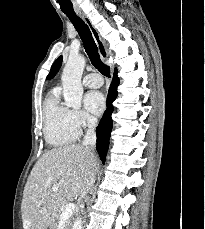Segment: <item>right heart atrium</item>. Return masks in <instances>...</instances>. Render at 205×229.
<instances>
[{
  "mask_svg": "<svg viewBox=\"0 0 205 229\" xmlns=\"http://www.w3.org/2000/svg\"><path fill=\"white\" fill-rule=\"evenodd\" d=\"M70 118L73 125L80 132L82 129L94 124V119L83 110H70Z\"/></svg>",
  "mask_w": 205,
  "mask_h": 229,
  "instance_id": "obj_1",
  "label": "right heart atrium"
}]
</instances>
